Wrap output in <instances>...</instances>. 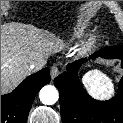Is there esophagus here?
<instances>
[{"label":"esophagus","mask_w":123,"mask_h":123,"mask_svg":"<svg viewBox=\"0 0 123 123\" xmlns=\"http://www.w3.org/2000/svg\"><path fill=\"white\" fill-rule=\"evenodd\" d=\"M59 68L57 65H53L51 67V70H50V75H51V78L54 79L56 76L59 75Z\"/></svg>","instance_id":"1"}]
</instances>
